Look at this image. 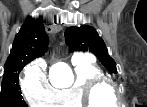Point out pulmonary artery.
I'll return each mask as SVG.
<instances>
[{"mask_svg":"<svg viewBox=\"0 0 147 107\" xmlns=\"http://www.w3.org/2000/svg\"><path fill=\"white\" fill-rule=\"evenodd\" d=\"M81 56H82V54H76V55L73 56L72 60L73 61L74 60H79Z\"/></svg>","mask_w":147,"mask_h":107,"instance_id":"pulmonary-artery-1","label":"pulmonary artery"}]
</instances>
